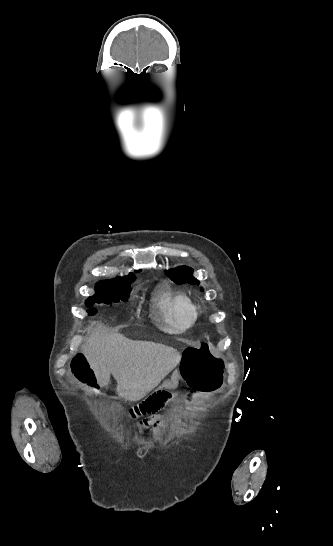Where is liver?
Listing matches in <instances>:
<instances>
[{
  "mask_svg": "<svg viewBox=\"0 0 333 546\" xmlns=\"http://www.w3.org/2000/svg\"><path fill=\"white\" fill-rule=\"evenodd\" d=\"M82 353L99 387L107 386L112 374L120 398L138 401L153 390L179 363L176 349L148 341H133L120 333H107L104 326L89 327Z\"/></svg>",
  "mask_w": 333,
  "mask_h": 546,
  "instance_id": "liver-1",
  "label": "liver"
}]
</instances>
